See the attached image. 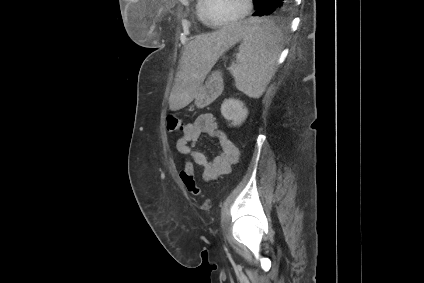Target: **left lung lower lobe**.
Returning a JSON list of instances; mask_svg holds the SVG:
<instances>
[{"label": "left lung lower lobe", "mask_w": 424, "mask_h": 283, "mask_svg": "<svg viewBox=\"0 0 424 283\" xmlns=\"http://www.w3.org/2000/svg\"><path fill=\"white\" fill-rule=\"evenodd\" d=\"M294 0H256L253 16L271 15L279 11H285L292 6Z\"/></svg>", "instance_id": "left-lung-lower-lobe-1"}]
</instances>
